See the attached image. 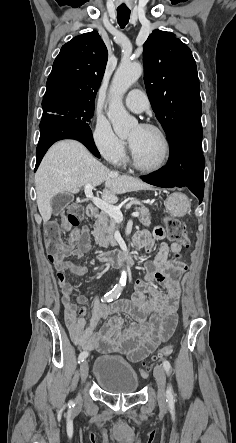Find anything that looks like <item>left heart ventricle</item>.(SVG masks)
<instances>
[{
	"instance_id": "left-heart-ventricle-1",
	"label": "left heart ventricle",
	"mask_w": 236,
	"mask_h": 443,
	"mask_svg": "<svg viewBox=\"0 0 236 443\" xmlns=\"http://www.w3.org/2000/svg\"><path fill=\"white\" fill-rule=\"evenodd\" d=\"M128 140L141 164L151 167L162 161L164 143L156 132L137 126L129 134Z\"/></svg>"
}]
</instances>
